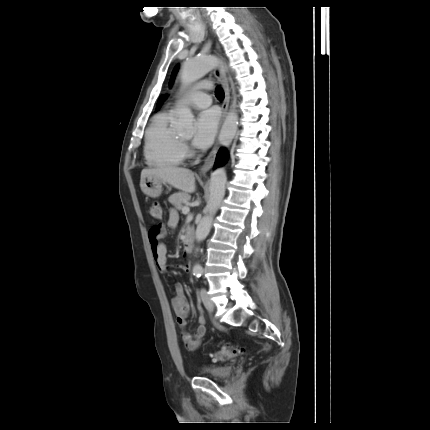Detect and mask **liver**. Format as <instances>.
<instances>
[{"label": "liver", "instance_id": "liver-1", "mask_svg": "<svg viewBox=\"0 0 430 430\" xmlns=\"http://www.w3.org/2000/svg\"><path fill=\"white\" fill-rule=\"evenodd\" d=\"M153 176L161 179L163 182L170 184L174 188L185 193H193L195 191L194 173L186 168L176 166H161L151 169H143L141 179Z\"/></svg>", "mask_w": 430, "mask_h": 430}]
</instances>
